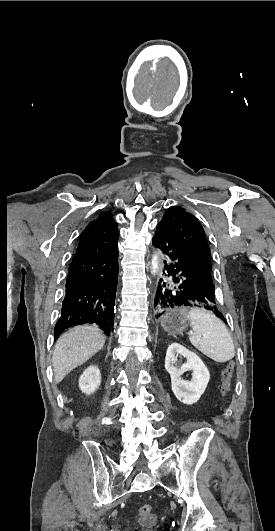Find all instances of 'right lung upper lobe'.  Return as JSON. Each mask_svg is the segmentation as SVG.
I'll use <instances>...</instances> for the list:
<instances>
[{
	"mask_svg": "<svg viewBox=\"0 0 275 531\" xmlns=\"http://www.w3.org/2000/svg\"><path fill=\"white\" fill-rule=\"evenodd\" d=\"M117 230V222L114 220L113 216L109 213H102L95 220L92 221L82 232L80 239L88 235Z\"/></svg>",
	"mask_w": 275,
	"mask_h": 531,
	"instance_id": "cb5924a9",
	"label": "right lung upper lobe"
}]
</instances>
